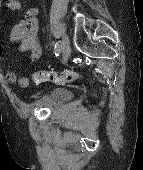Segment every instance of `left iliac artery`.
Wrapping results in <instances>:
<instances>
[{"label": "left iliac artery", "mask_w": 143, "mask_h": 170, "mask_svg": "<svg viewBox=\"0 0 143 170\" xmlns=\"http://www.w3.org/2000/svg\"><path fill=\"white\" fill-rule=\"evenodd\" d=\"M55 56H59V53L61 51V43L60 41L55 44Z\"/></svg>", "instance_id": "44dca946"}]
</instances>
